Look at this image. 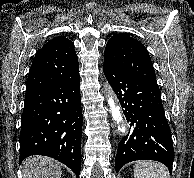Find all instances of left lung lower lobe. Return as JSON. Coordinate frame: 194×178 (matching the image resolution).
<instances>
[{"instance_id":"obj_1","label":"left lung lower lobe","mask_w":194,"mask_h":178,"mask_svg":"<svg viewBox=\"0 0 194 178\" xmlns=\"http://www.w3.org/2000/svg\"><path fill=\"white\" fill-rule=\"evenodd\" d=\"M103 69L132 128L118 145L116 172L134 160H155L172 169L173 141L157 83L128 75L106 63Z\"/></svg>"}]
</instances>
